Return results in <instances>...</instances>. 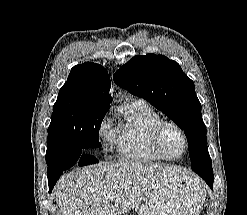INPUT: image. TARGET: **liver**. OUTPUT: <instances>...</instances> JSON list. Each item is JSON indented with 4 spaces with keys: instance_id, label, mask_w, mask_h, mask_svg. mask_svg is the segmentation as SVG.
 <instances>
[{
    "instance_id": "1",
    "label": "liver",
    "mask_w": 247,
    "mask_h": 215,
    "mask_svg": "<svg viewBox=\"0 0 247 215\" xmlns=\"http://www.w3.org/2000/svg\"><path fill=\"white\" fill-rule=\"evenodd\" d=\"M181 174H185L182 169L162 164L103 163L64 175L54 193L63 215H121L137 208ZM112 194L115 199L111 201Z\"/></svg>"
}]
</instances>
